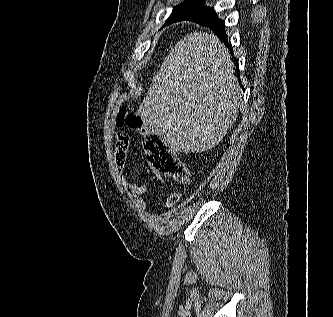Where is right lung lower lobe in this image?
Wrapping results in <instances>:
<instances>
[{"label":"right lung lower lobe","mask_w":333,"mask_h":317,"mask_svg":"<svg viewBox=\"0 0 333 317\" xmlns=\"http://www.w3.org/2000/svg\"><path fill=\"white\" fill-rule=\"evenodd\" d=\"M185 20L193 21L200 25L209 27L220 38V40L230 48L227 42L228 37L224 30L225 23L223 20L217 17L215 12H211L205 15L194 16Z\"/></svg>","instance_id":"1"}]
</instances>
